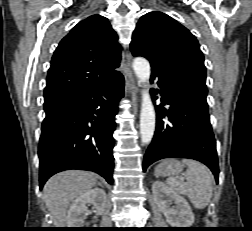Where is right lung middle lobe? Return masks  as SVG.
<instances>
[{"label": "right lung middle lobe", "instance_id": "obj_1", "mask_svg": "<svg viewBox=\"0 0 252 231\" xmlns=\"http://www.w3.org/2000/svg\"><path fill=\"white\" fill-rule=\"evenodd\" d=\"M63 102H49V103H44V110L45 112H48L56 107H58L59 105H61Z\"/></svg>", "mask_w": 252, "mask_h": 231}]
</instances>
